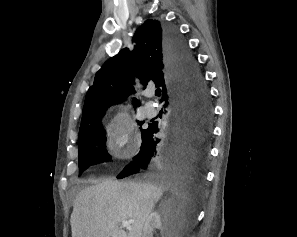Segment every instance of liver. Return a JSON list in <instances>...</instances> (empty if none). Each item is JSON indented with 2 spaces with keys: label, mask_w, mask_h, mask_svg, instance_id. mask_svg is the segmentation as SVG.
I'll return each instance as SVG.
<instances>
[{
  "label": "liver",
  "mask_w": 297,
  "mask_h": 237,
  "mask_svg": "<svg viewBox=\"0 0 297 237\" xmlns=\"http://www.w3.org/2000/svg\"><path fill=\"white\" fill-rule=\"evenodd\" d=\"M163 195L151 182L103 180L81 190L71 214L72 237H141L147 217ZM134 220L128 232L119 227Z\"/></svg>",
  "instance_id": "liver-1"
}]
</instances>
